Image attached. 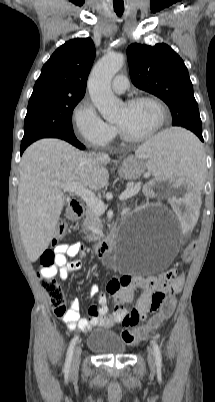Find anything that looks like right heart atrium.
<instances>
[{
    "label": "right heart atrium",
    "instance_id": "obj_1",
    "mask_svg": "<svg viewBox=\"0 0 215 402\" xmlns=\"http://www.w3.org/2000/svg\"><path fill=\"white\" fill-rule=\"evenodd\" d=\"M74 130L79 139L91 147H106L116 136V128L98 114L88 98L82 99L73 111Z\"/></svg>",
    "mask_w": 215,
    "mask_h": 402
}]
</instances>
